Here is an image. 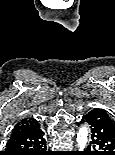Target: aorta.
Returning <instances> with one entry per match:
<instances>
[{"mask_svg":"<svg viewBox=\"0 0 115 155\" xmlns=\"http://www.w3.org/2000/svg\"><path fill=\"white\" fill-rule=\"evenodd\" d=\"M88 142V128L82 126L77 134V146L79 150L85 149Z\"/></svg>","mask_w":115,"mask_h":155,"instance_id":"obj_1","label":"aorta"}]
</instances>
